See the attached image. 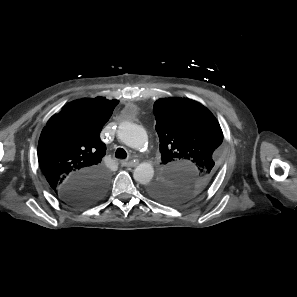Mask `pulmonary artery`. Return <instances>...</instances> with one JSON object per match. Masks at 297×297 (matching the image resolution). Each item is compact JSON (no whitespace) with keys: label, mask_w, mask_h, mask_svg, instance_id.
I'll return each instance as SVG.
<instances>
[{"label":"pulmonary artery","mask_w":297,"mask_h":297,"mask_svg":"<svg viewBox=\"0 0 297 297\" xmlns=\"http://www.w3.org/2000/svg\"><path fill=\"white\" fill-rule=\"evenodd\" d=\"M123 141L128 142V140L126 138H122Z\"/></svg>","instance_id":"1"}]
</instances>
